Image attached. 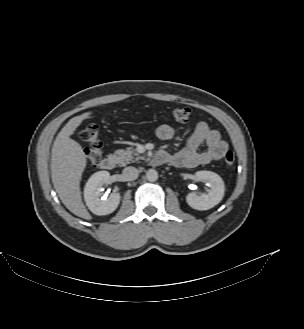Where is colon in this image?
I'll return each mask as SVG.
<instances>
[{"mask_svg": "<svg viewBox=\"0 0 304 329\" xmlns=\"http://www.w3.org/2000/svg\"><path fill=\"white\" fill-rule=\"evenodd\" d=\"M171 118L177 122H186L190 118V111L187 108L175 109ZM79 138L88 145L86 162L88 168L96 167L102 159V143L99 138V128L90 124L82 128L78 133ZM224 162L231 166L235 162L233 151L227 150L224 154Z\"/></svg>", "mask_w": 304, "mask_h": 329, "instance_id": "1", "label": "colon"}]
</instances>
